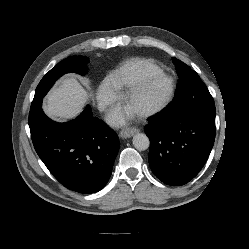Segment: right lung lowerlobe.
<instances>
[{
	"mask_svg": "<svg viewBox=\"0 0 249 249\" xmlns=\"http://www.w3.org/2000/svg\"><path fill=\"white\" fill-rule=\"evenodd\" d=\"M34 148L52 175L66 188L84 194L108 182L119 150L116 133L92 116L88 105L75 120L57 123L39 107L29 119Z\"/></svg>",
	"mask_w": 249,
	"mask_h": 249,
	"instance_id": "98d812e1",
	"label": "right lung lower lobe"
}]
</instances>
